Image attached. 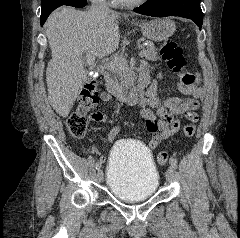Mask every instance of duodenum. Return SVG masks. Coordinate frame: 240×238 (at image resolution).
<instances>
[{"instance_id": "duodenum-1", "label": "duodenum", "mask_w": 240, "mask_h": 238, "mask_svg": "<svg viewBox=\"0 0 240 238\" xmlns=\"http://www.w3.org/2000/svg\"><path fill=\"white\" fill-rule=\"evenodd\" d=\"M108 91L119 100L128 104H138L145 97V88L149 82L146 72H141L137 83L132 85L128 91L123 86L117 84L108 72L103 73Z\"/></svg>"}]
</instances>
